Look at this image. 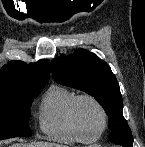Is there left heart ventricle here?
<instances>
[{"instance_id":"1","label":"left heart ventricle","mask_w":145,"mask_h":147,"mask_svg":"<svg viewBox=\"0 0 145 147\" xmlns=\"http://www.w3.org/2000/svg\"><path fill=\"white\" fill-rule=\"evenodd\" d=\"M79 115L83 127L90 135L97 134L102 128V116L98 108L90 101L84 100L79 106Z\"/></svg>"}]
</instances>
